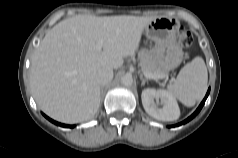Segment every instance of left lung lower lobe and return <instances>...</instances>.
<instances>
[{"label": "left lung lower lobe", "mask_w": 238, "mask_h": 158, "mask_svg": "<svg viewBox=\"0 0 238 158\" xmlns=\"http://www.w3.org/2000/svg\"><path fill=\"white\" fill-rule=\"evenodd\" d=\"M209 92H210V88L208 89V92L205 96V98L203 99V101L201 102V104L199 105V107L197 108V110L190 116L188 117L186 120H184L183 122L175 125V126H179V125H182V124H185L187 123L188 121H190L191 119H193L198 113L199 111L201 110V108L203 107L204 103H205V100L207 99L208 95H209Z\"/></svg>", "instance_id": "obj_1"}]
</instances>
